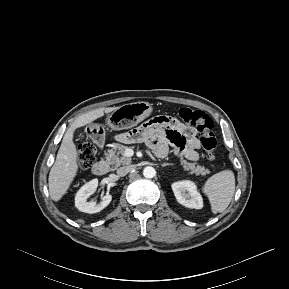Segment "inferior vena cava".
<instances>
[{"mask_svg": "<svg viewBox=\"0 0 289 289\" xmlns=\"http://www.w3.org/2000/svg\"><path fill=\"white\" fill-rule=\"evenodd\" d=\"M133 169H134L133 165L120 167L119 169H117V175L120 177L125 176L129 172H131Z\"/></svg>", "mask_w": 289, "mask_h": 289, "instance_id": "1", "label": "inferior vena cava"}]
</instances>
